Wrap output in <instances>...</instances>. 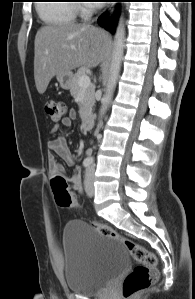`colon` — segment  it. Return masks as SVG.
Wrapping results in <instances>:
<instances>
[{"mask_svg": "<svg viewBox=\"0 0 195 299\" xmlns=\"http://www.w3.org/2000/svg\"><path fill=\"white\" fill-rule=\"evenodd\" d=\"M45 111L53 122H59L67 114V104L60 100H48L45 103ZM52 191L55 201L60 207H77L78 201L69 193L68 183L61 175H55L52 178ZM92 227L101 235L110 237L121 243L131 254L132 258L138 263L137 266L125 277L122 283V293L124 297H130L134 294L148 288L157 280V258L142 245L116 232L110 226L98 221H91Z\"/></svg>", "mask_w": 195, "mask_h": 299, "instance_id": "obj_1", "label": "colon"}]
</instances>
